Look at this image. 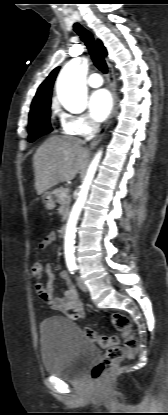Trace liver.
<instances>
[{
  "instance_id": "1",
  "label": "liver",
  "mask_w": 168,
  "mask_h": 415,
  "mask_svg": "<svg viewBox=\"0 0 168 415\" xmlns=\"http://www.w3.org/2000/svg\"><path fill=\"white\" fill-rule=\"evenodd\" d=\"M76 137L53 136L33 156L35 189L38 195L60 182L73 180L84 168L90 153Z\"/></svg>"
}]
</instances>
